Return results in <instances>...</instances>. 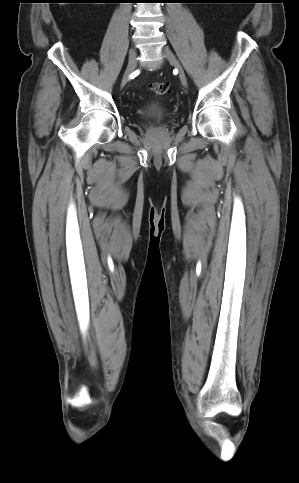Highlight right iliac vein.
I'll return each instance as SVG.
<instances>
[{
    "instance_id": "63e3f726",
    "label": "right iliac vein",
    "mask_w": 299,
    "mask_h": 483,
    "mask_svg": "<svg viewBox=\"0 0 299 483\" xmlns=\"http://www.w3.org/2000/svg\"><path fill=\"white\" fill-rule=\"evenodd\" d=\"M135 68H136V50L134 48H131L129 50L128 64L122 79V85H124L127 82L130 74L135 70Z\"/></svg>"
}]
</instances>
